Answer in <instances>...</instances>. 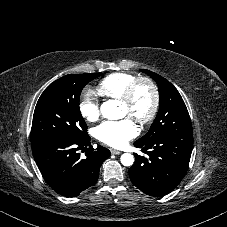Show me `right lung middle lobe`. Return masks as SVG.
I'll list each match as a JSON object with an SVG mask.
<instances>
[{"label":"right lung middle lobe","mask_w":227,"mask_h":227,"mask_svg":"<svg viewBox=\"0 0 227 227\" xmlns=\"http://www.w3.org/2000/svg\"><path fill=\"white\" fill-rule=\"evenodd\" d=\"M101 74L66 75L44 90L33 115L32 146L50 138L82 139L87 136V125L79 109V98L84 86Z\"/></svg>","instance_id":"1"}]
</instances>
